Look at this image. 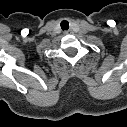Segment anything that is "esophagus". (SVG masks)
I'll return each instance as SVG.
<instances>
[{
  "label": "esophagus",
  "instance_id": "34e87169",
  "mask_svg": "<svg viewBox=\"0 0 127 127\" xmlns=\"http://www.w3.org/2000/svg\"><path fill=\"white\" fill-rule=\"evenodd\" d=\"M73 32H72V30H67V31H64V34H72Z\"/></svg>",
  "mask_w": 127,
  "mask_h": 127
}]
</instances>
